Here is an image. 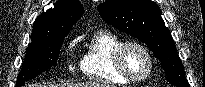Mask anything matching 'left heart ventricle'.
I'll list each match as a JSON object with an SVG mask.
<instances>
[{"instance_id": "1", "label": "left heart ventricle", "mask_w": 205, "mask_h": 87, "mask_svg": "<svg viewBox=\"0 0 205 87\" xmlns=\"http://www.w3.org/2000/svg\"><path fill=\"white\" fill-rule=\"evenodd\" d=\"M123 66L133 76L146 74L149 61L145 53L137 47H129L123 54Z\"/></svg>"}]
</instances>
